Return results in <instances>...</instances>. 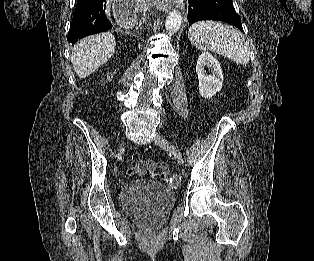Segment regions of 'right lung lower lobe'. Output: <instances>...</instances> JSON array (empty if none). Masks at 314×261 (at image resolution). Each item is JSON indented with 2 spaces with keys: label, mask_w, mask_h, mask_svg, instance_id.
<instances>
[{
  "label": "right lung lower lobe",
  "mask_w": 314,
  "mask_h": 261,
  "mask_svg": "<svg viewBox=\"0 0 314 261\" xmlns=\"http://www.w3.org/2000/svg\"><path fill=\"white\" fill-rule=\"evenodd\" d=\"M106 2L107 0H77L68 42L73 44L85 36L112 28L111 22L106 17Z\"/></svg>",
  "instance_id": "obj_1"
}]
</instances>
